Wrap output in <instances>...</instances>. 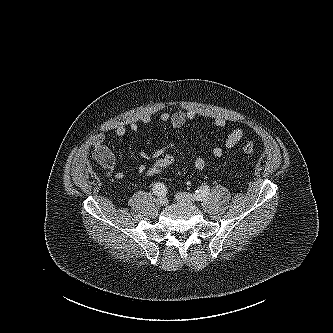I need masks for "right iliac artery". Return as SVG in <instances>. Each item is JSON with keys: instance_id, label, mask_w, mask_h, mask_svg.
<instances>
[{"instance_id": "obj_1", "label": "right iliac artery", "mask_w": 333, "mask_h": 333, "mask_svg": "<svg viewBox=\"0 0 333 333\" xmlns=\"http://www.w3.org/2000/svg\"><path fill=\"white\" fill-rule=\"evenodd\" d=\"M153 192L157 196H166L167 194V189L163 183L157 182L153 186Z\"/></svg>"}]
</instances>
